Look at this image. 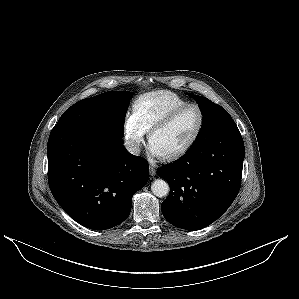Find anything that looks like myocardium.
Wrapping results in <instances>:
<instances>
[{"mask_svg": "<svg viewBox=\"0 0 299 299\" xmlns=\"http://www.w3.org/2000/svg\"><path fill=\"white\" fill-rule=\"evenodd\" d=\"M189 108H196L199 112L200 115V121H199V125L194 133V135L192 136V138L187 142V144L185 146H183L182 148L178 149L177 151H174L172 153L163 155V158L167 159V160H174L177 159L179 157H182L183 155H185L187 152H189L193 146L196 144V142L198 141L202 130L204 128V124H205V113L204 110L202 109V107L196 103H187L177 109H175L174 111H172L169 115H167L165 118H163L162 120H160L159 122H157L156 124H154L150 129H149V133H148V140L149 142H151L152 137L154 136V134L156 132H158L161 129L166 128L167 126H169L172 122L175 121V119L182 114L185 110L189 109Z\"/></svg>", "mask_w": 299, "mask_h": 299, "instance_id": "1", "label": "myocardium"}]
</instances>
